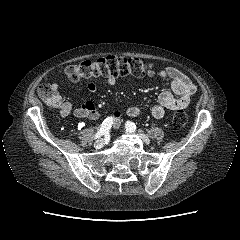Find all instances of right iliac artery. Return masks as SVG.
Segmentation results:
<instances>
[{"mask_svg": "<svg viewBox=\"0 0 240 240\" xmlns=\"http://www.w3.org/2000/svg\"><path fill=\"white\" fill-rule=\"evenodd\" d=\"M112 124H113V118L112 117L106 118L102 122L101 127L98 129L97 133L95 134L94 139L100 138L102 135L108 133Z\"/></svg>", "mask_w": 240, "mask_h": 240, "instance_id": "82829eb1", "label": "right iliac artery"}]
</instances>
